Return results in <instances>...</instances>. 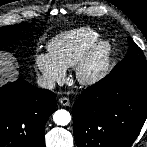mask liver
<instances>
[{
  "mask_svg": "<svg viewBox=\"0 0 147 147\" xmlns=\"http://www.w3.org/2000/svg\"><path fill=\"white\" fill-rule=\"evenodd\" d=\"M17 75L11 57L7 53L0 52V84L12 80Z\"/></svg>",
  "mask_w": 147,
  "mask_h": 147,
  "instance_id": "1",
  "label": "liver"
}]
</instances>
